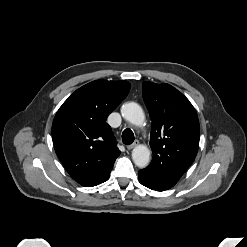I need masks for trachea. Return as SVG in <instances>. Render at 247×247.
<instances>
[{"instance_id": "obj_1", "label": "trachea", "mask_w": 247, "mask_h": 247, "mask_svg": "<svg viewBox=\"0 0 247 247\" xmlns=\"http://www.w3.org/2000/svg\"><path fill=\"white\" fill-rule=\"evenodd\" d=\"M133 141H134V133L129 128L125 129L122 133V142L125 145H130L133 143Z\"/></svg>"}]
</instances>
